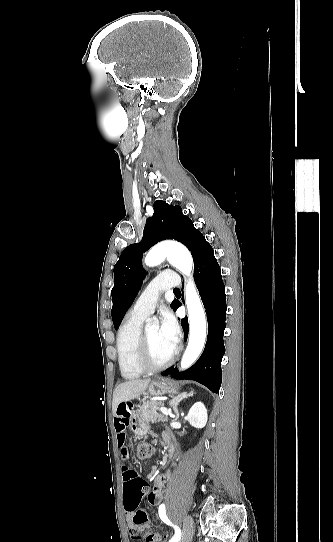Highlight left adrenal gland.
Listing matches in <instances>:
<instances>
[{"label": "left adrenal gland", "instance_id": "1", "mask_svg": "<svg viewBox=\"0 0 333 542\" xmlns=\"http://www.w3.org/2000/svg\"><path fill=\"white\" fill-rule=\"evenodd\" d=\"M193 392H189V394H187V392H184V394H178V396H170V398H172V400H169V406L170 408H173V412L174 414H176V418H174L175 422H177L180 414L178 412V406L180 404V402H182V400H184V398H189V396H192Z\"/></svg>", "mask_w": 333, "mask_h": 542}]
</instances>
